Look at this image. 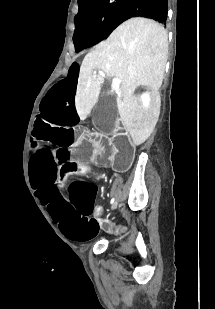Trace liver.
Returning <instances> with one entry per match:
<instances>
[{"mask_svg":"<svg viewBox=\"0 0 215 309\" xmlns=\"http://www.w3.org/2000/svg\"><path fill=\"white\" fill-rule=\"evenodd\" d=\"M168 52L167 30L151 18L134 16L117 26L106 40L88 52L80 66L75 104L85 120L98 100L102 70L110 78H120L117 108L134 144L150 136L159 116V106L143 110L134 94L137 86H148L157 94L163 80Z\"/></svg>","mask_w":215,"mask_h":309,"instance_id":"1","label":"liver"}]
</instances>
